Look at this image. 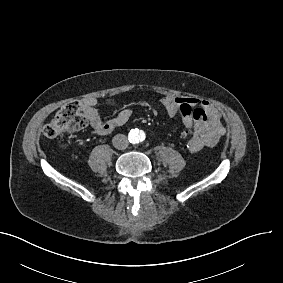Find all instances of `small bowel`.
I'll return each instance as SVG.
<instances>
[{"label":"small bowel","instance_id":"obj_1","mask_svg":"<svg viewBox=\"0 0 283 283\" xmlns=\"http://www.w3.org/2000/svg\"><path fill=\"white\" fill-rule=\"evenodd\" d=\"M186 101L195 106V118L199 123L194 137L186 144L187 150L191 153H198L205 148L215 146L225 135L227 129L222 123L220 112L213 104L193 96L166 95L161 99V105L170 114L182 102ZM97 103L98 100L95 97H87L80 102L82 112L89 119L93 132L97 135H106L115 128L123 126L132 116V111L124 108L115 116L103 120L96 109Z\"/></svg>","mask_w":283,"mask_h":283}]
</instances>
